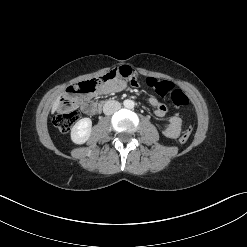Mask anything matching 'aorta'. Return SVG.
I'll return each mask as SVG.
<instances>
[{"mask_svg": "<svg viewBox=\"0 0 247 247\" xmlns=\"http://www.w3.org/2000/svg\"><path fill=\"white\" fill-rule=\"evenodd\" d=\"M124 106L128 109H132V108H134V102L132 100H125Z\"/></svg>", "mask_w": 247, "mask_h": 247, "instance_id": "1", "label": "aorta"}]
</instances>
